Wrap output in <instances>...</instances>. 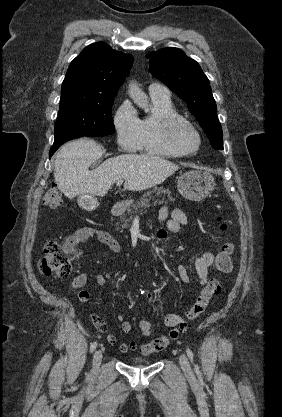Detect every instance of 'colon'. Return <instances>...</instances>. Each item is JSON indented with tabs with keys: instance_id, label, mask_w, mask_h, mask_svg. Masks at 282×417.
I'll return each instance as SVG.
<instances>
[{
	"instance_id": "colon-1",
	"label": "colon",
	"mask_w": 282,
	"mask_h": 417,
	"mask_svg": "<svg viewBox=\"0 0 282 417\" xmlns=\"http://www.w3.org/2000/svg\"><path fill=\"white\" fill-rule=\"evenodd\" d=\"M44 202L50 209H57L61 205V194L56 185L49 187L44 193ZM226 225L222 224L221 229L225 230ZM81 255L80 250H73L69 242L48 241L45 243V255L41 258L38 268L42 274L67 277L71 273V263L68 256ZM233 246L226 242L217 254L214 266L217 270L228 272L232 269ZM221 290V282L218 278H211L207 281L192 308L187 312L186 319L183 320L175 330H170L164 339H155L151 347H142V356H151L152 353H163L167 344H174L179 337V332L185 328L188 322L197 318L204 312L210 300L218 295Z\"/></svg>"
}]
</instances>
